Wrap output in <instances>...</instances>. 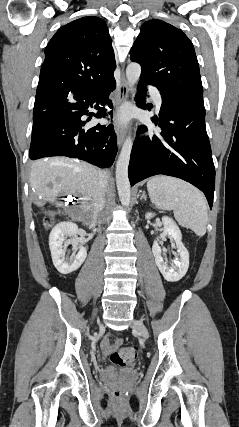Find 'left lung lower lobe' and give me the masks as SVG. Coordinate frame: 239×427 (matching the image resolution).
Masks as SVG:
<instances>
[{
	"mask_svg": "<svg viewBox=\"0 0 239 427\" xmlns=\"http://www.w3.org/2000/svg\"><path fill=\"white\" fill-rule=\"evenodd\" d=\"M146 84L139 81L137 106H146ZM162 105L159 118L152 120L162 131L153 137L137 138L133 144L128 175L131 186L164 174L183 179L206 196L210 208L215 189V169L205 127V108L183 98L160 91ZM141 131L147 130L145 126Z\"/></svg>",
	"mask_w": 239,
	"mask_h": 427,
	"instance_id": "obj_1",
	"label": "left lung lower lobe"
}]
</instances>
